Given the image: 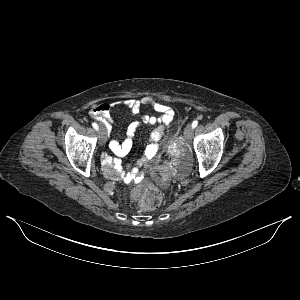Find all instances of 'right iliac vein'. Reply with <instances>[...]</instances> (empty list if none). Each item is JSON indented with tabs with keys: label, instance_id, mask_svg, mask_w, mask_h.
<instances>
[{
	"label": "right iliac vein",
	"instance_id": "right-iliac-vein-1",
	"mask_svg": "<svg viewBox=\"0 0 300 300\" xmlns=\"http://www.w3.org/2000/svg\"><path fill=\"white\" fill-rule=\"evenodd\" d=\"M98 137H99V144L101 146L104 145V143L106 142L107 136H106V132L103 127H101L99 129Z\"/></svg>",
	"mask_w": 300,
	"mask_h": 300
}]
</instances>
